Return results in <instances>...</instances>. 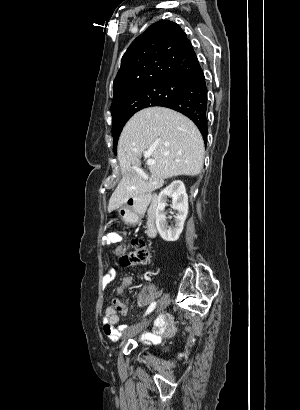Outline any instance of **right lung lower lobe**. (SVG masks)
<instances>
[{
  "label": "right lung lower lobe",
  "mask_w": 300,
  "mask_h": 410,
  "mask_svg": "<svg viewBox=\"0 0 300 410\" xmlns=\"http://www.w3.org/2000/svg\"><path fill=\"white\" fill-rule=\"evenodd\" d=\"M207 91L203 70L199 68L171 100L161 105L189 117L200 130L205 143L207 140Z\"/></svg>",
  "instance_id": "right-lung-lower-lobe-1"
}]
</instances>
